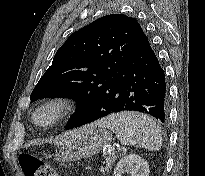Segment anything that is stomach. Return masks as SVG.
Returning a JSON list of instances; mask_svg holds the SVG:
<instances>
[{"label":"stomach","instance_id":"stomach-1","mask_svg":"<svg viewBox=\"0 0 205 176\" xmlns=\"http://www.w3.org/2000/svg\"><path fill=\"white\" fill-rule=\"evenodd\" d=\"M112 140V133L97 123L87 126L83 135L68 145L61 146L55 154L57 161L68 163L84 159L107 147Z\"/></svg>","mask_w":205,"mask_h":176}]
</instances>
